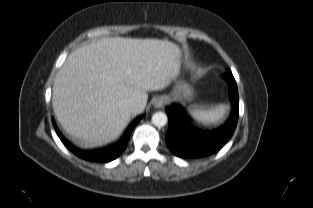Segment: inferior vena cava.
Segmentation results:
<instances>
[{"label":"inferior vena cava","mask_w":313,"mask_h":208,"mask_svg":"<svg viewBox=\"0 0 313 208\" xmlns=\"http://www.w3.org/2000/svg\"><path fill=\"white\" fill-rule=\"evenodd\" d=\"M138 106V101L135 98H128L124 101V103L121 106V111H123L126 114H131Z\"/></svg>","instance_id":"602c4592"}]
</instances>
